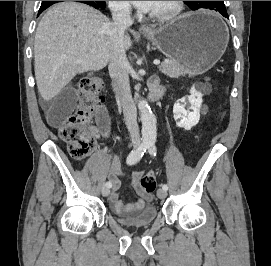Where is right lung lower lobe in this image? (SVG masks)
Instances as JSON below:
<instances>
[{
    "label": "right lung lower lobe",
    "instance_id": "obj_1",
    "mask_svg": "<svg viewBox=\"0 0 271 266\" xmlns=\"http://www.w3.org/2000/svg\"><path fill=\"white\" fill-rule=\"evenodd\" d=\"M57 2H61V1H52V2L41 4L38 15L41 14L46 8H48L49 6ZM77 2L88 4L90 6H93L96 9H99V8L104 9L105 7V1H77Z\"/></svg>",
    "mask_w": 271,
    "mask_h": 266
}]
</instances>
